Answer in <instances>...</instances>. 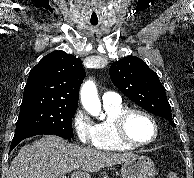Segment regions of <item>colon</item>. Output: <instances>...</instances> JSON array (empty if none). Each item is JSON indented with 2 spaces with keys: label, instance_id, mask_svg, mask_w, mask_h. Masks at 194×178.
Segmentation results:
<instances>
[{
  "label": "colon",
  "instance_id": "colon-1",
  "mask_svg": "<svg viewBox=\"0 0 194 178\" xmlns=\"http://www.w3.org/2000/svg\"><path fill=\"white\" fill-rule=\"evenodd\" d=\"M166 178H179L178 177V174L175 172V171H169L168 173H167V177Z\"/></svg>",
  "mask_w": 194,
  "mask_h": 178
}]
</instances>
